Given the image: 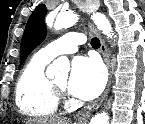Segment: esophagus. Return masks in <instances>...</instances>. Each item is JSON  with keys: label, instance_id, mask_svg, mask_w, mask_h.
I'll return each mask as SVG.
<instances>
[{"label": "esophagus", "instance_id": "obj_1", "mask_svg": "<svg viewBox=\"0 0 145 124\" xmlns=\"http://www.w3.org/2000/svg\"><path fill=\"white\" fill-rule=\"evenodd\" d=\"M98 7H99V4L96 3L95 9H98ZM91 11H92V9L88 10V12H91ZM89 28L100 40V52L102 54L104 62L107 65V68L109 71V77H108L107 86H106L103 94L93 104L89 105L86 109L80 111L77 114L76 119H77L78 123H80V124L87 123V121L90 119L91 113L94 110L99 108V106L102 104V102L107 97L109 90H110L111 82H112V68H111V63H110V56H109V52H108L107 46L105 44V41H104L101 33L97 30V28L92 23H89Z\"/></svg>", "mask_w": 145, "mask_h": 124}]
</instances>
